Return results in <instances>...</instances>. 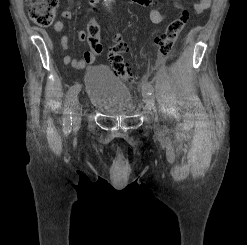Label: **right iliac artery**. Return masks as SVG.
<instances>
[{"mask_svg":"<svg viewBox=\"0 0 247 245\" xmlns=\"http://www.w3.org/2000/svg\"><path fill=\"white\" fill-rule=\"evenodd\" d=\"M80 90H81V85L75 84L69 89L67 93L65 105H64V112H63V115H64L63 116V126L66 131H69V129L71 128V125H72L71 108Z\"/></svg>","mask_w":247,"mask_h":245,"instance_id":"82829eb1","label":"right iliac artery"}]
</instances>
